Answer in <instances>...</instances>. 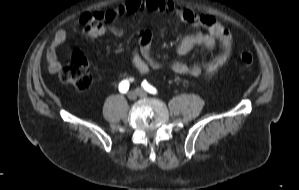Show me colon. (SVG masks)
Listing matches in <instances>:
<instances>
[{
  "label": "colon",
  "instance_id": "colon-1",
  "mask_svg": "<svg viewBox=\"0 0 299 190\" xmlns=\"http://www.w3.org/2000/svg\"><path fill=\"white\" fill-rule=\"evenodd\" d=\"M239 60L245 66L252 65L254 56L250 49L244 48L239 52ZM60 80L72 85L78 91L87 90L92 83L89 62L81 51H75L71 60L61 69Z\"/></svg>",
  "mask_w": 299,
  "mask_h": 190
}]
</instances>
